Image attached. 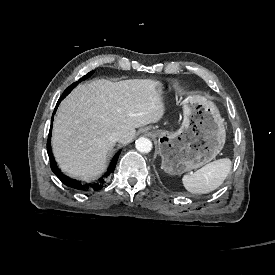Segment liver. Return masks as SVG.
<instances>
[{"mask_svg": "<svg viewBox=\"0 0 275 275\" xmlns=\"http://www.w3.org/2000/svg\"><path fill=\"white\" fill-rule=\"evenodd\" d=\"M161 84L150 80H106L79 85L62 102L53 129V153L62 170L91 181L106 170L107 153L135 137V128L158 123L166 113Z\"/></svg>", "mask_w": 275, "mask_h": 275, "instance_id": "1", "label": "liver"}]
</instances>
